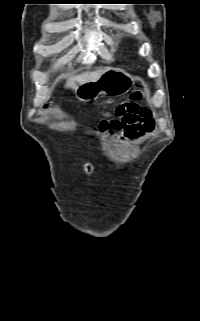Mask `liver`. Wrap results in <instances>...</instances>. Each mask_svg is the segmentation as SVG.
Segmentation results:
<instances>
[{
    "instance_id": "6515ba94",
    "label": "liver",
    "mask_w": 200,
    "mask_h": 321,
    "mask_svg": "<svg viewBox=\"0 0 200 321\" xmlns=\"http://www.w3.org/2000/svg\"><path fill=\"white\" fill-rule=\"evenodd\" d=\"M108 69L109 68L98 69L97 71L91 72L90 74L84 73L79 76L71 77L70 79H68V81L66 83V87L76 89L77 88L76 82H78V84L81 85V84L89 82V81H96Z\"/></svg>"
}]
</instances>
